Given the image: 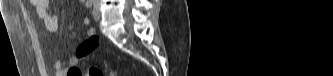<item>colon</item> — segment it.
Instances as JSON below:
<instances>
[{
  "instance_id": "1",
  "label": "colon",
  "mask_w": 333,
  "mask_h": 76,
  "mask_svg": "<svg viewBox=\"0 0 333 76\" xmlns=\"http://www.w3.org/2000/svg\"><path fill=\"white\" fill-rule=\"evenodd\" d=\"M86 75H88V76H103L104 74L100 69H98L94 66H91V67L88 68ZM109 75L110 76H115V73L110 72Z\"/></svg>"
}]
</instances>
